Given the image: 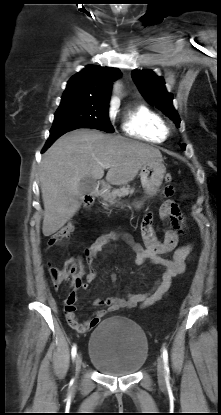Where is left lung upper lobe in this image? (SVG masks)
I'll list each match as a JSON object with an SVG mask.
<instances>
[{
    "mask_svg": "<svg viewBox=\"0 0 221 415\" xmlns=\"http://www.w3.org/2000/svg\"><path fill=\"white\" fill-rule=\"evenodd\" d=\"M131 75L142 96L151 105L162 110L179 127L180 118L172 104L173 96L165 88L164 79L151 70H133ZM180 146L185 149V144Z\"/></svg>",
    "mask_w": 221,
    "mask_h": 415,
    "instance_id": "5c2ea615",
    "label": "left lung upper lobe"
}]
</instances>
